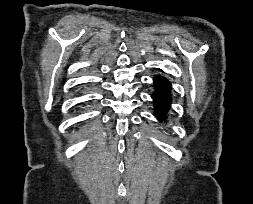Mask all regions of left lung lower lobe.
Here are the masks:
<instances>
[{"instance_id":"0a47b994","label":"left lung lower lobe","mask_w":253,"mask_h":204,"mask_svg":"<svg viewBox=\"0 0 253 204\" xmlns=\"http://www.w3.org/2000/svg\"><path fill=\"white\" fill-rule=\"evenodd\" d=\"M154 88L155 92L151 97L154 100L155 115L162 120L166 117L171 104V84L166 78L159 75L154 78Z\"/></svg>"}]
</instances>
